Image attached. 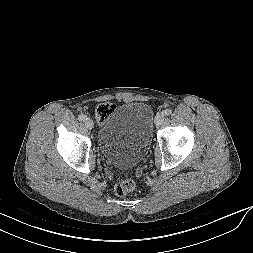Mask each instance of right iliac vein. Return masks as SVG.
Returning <instances> with one entry per match:
<instances>
[{"label": "right iliac vein", "mask_w": 253, "mask_h": 253, "mask_svg": "<svg viewBox=\"0 0 253 253\" xmlns=\"http://www.w3.org/2000/svg\"><path fill=\"white\" fill-rule=\"evenodd\" d=\"M84 123H85L86 128H88V129H92L94 126V123H93L92 119H90V118H86L84 120Z\"/></svg>", "instance_id": "obj_1"}]
</instances>
